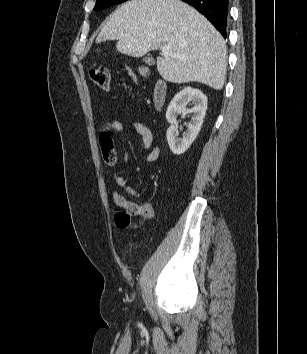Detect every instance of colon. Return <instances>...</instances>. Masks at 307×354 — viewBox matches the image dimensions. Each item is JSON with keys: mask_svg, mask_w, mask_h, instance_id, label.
Returning <instances> with one entry per match:
<instances>
[{"mask_svg": "<svg viewBox=\"0 0 307 354\" xmlns=\"http://www.w3.org/2000/svg\"><path fill=\"white\" fill-rule=\"evenodd\" d=\"M90 78L98 87L103 90L110 88V71L107 67L101 66L90 70ZM123 207L116 214V223L121 228L133 226L139 227L143 221L152 215V208L148 203L127 206L119 204Z\"/></svg>", "mask_w": 307, "mask_h": 354, "instance_id": "obj_1", "label": "colon"}]
</instances>
